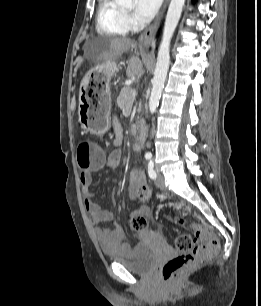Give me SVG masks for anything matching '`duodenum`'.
<instances>
[{"mask_svg": "<svg viewBox=\"0 0 261 306\" xmlns=\"http://www.w3.org/2000/svg\"><path fill=\"white\" fill-rule=\"evenodd\" d=\"M137 126L139 129V136L137 137V139L133 142V148L137 151H140L143 147V137H144V122L142 120H139L137 122Z\"/></svg>", "mask_w": 261, "mask_h": 306, "instance_id": "duodenum-1", "label": "duodenum"}]
</instances>
